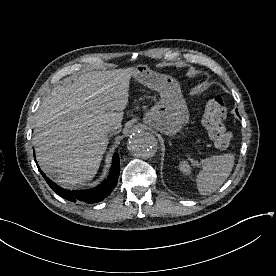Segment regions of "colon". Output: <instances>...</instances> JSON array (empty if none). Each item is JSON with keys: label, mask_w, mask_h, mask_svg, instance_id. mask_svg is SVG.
<instances>
[{"label": "colon", "mask_w": 276, "mask_h": 276, "mask_svg": "<svg viewBox=\"0 0 276 276\" xmlns=\"http://www.w3.org/2000/svg\"><path fill=\"white\" fill-rule=\"evenodd\" d=\"M227 115V105L221 96L211 98L204 109L202 125L208 132L210 139L219 149L229 147L232 135L223 124Z\"/></svg>", "instance_id": "5ec220e1"}]
</instances>
